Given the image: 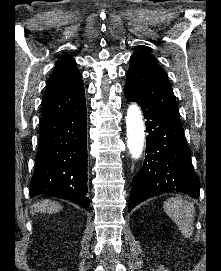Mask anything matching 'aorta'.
<instances>
[{"instance_id": "obj_1", "label": "aorta", "mask_w": 221, "mask_h": 271, "mask_svg": "<svg viewBox=\"0 0 221 271\" xmlns=\"http://www.w3.org/2000/svg\"><path fill=\"white\" fill-rule=\"evenodd\" d=\"M142 112L136 103L129 105L126 116L127 147L133 159L142 155L145 132Z\"/></svg>"}]
</instances>
